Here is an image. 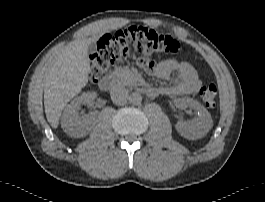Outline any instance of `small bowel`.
<instances>
[{
	"instance_id": "1",
	"label": "small bowel",
	"mask_w": 265,
	"mask_h": 202,
	"mask_svg": "<svg viewBox=\"0 0 265 202\" xmlns=\"http://www.w3.org/2000/svg\"><path fill=\"white\" fill-rule=\"evenodd\" d=\"M147 71L155 78L171 82L170 86L159 88L161 93L168 96L194 94L201 86V81L194 67L178 58L162 60ZM173 73L176 75L174 76Z\"/></svg>"
}]
</instances>
